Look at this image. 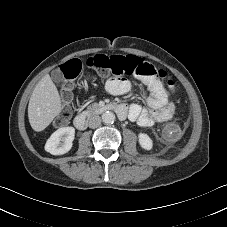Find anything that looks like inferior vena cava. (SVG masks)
I'll return each mask as SVG.
<instances>
[{"label": "inferior vena cava", "instance_id": "602c4592", "mask_svg": "<svg viewBox=\"0 0 227 227\" xmlns=\"http://www.w3.org/2000/svg\"><path fill=\"white\" fill-rule=\"evenodd\" d=\"M88 123L90 128H97L101 124V118L99 115H92L88 119Z\"/></svg>", "mask_w": 227, "mask_h": 227}]
</instances>
